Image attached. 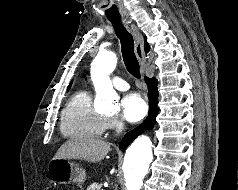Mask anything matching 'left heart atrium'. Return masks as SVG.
Here are the masks:
<instances>
[{
    "instance_id": "obj_1",
    "label": "left heart atrium",
    "mask_w": 238,
    "mask_h": 190,
    "mask_svg": "<svg viewBox=\"0 0 238 190\" xmlns=\"http://www.w3.org/2000/svg\"><path fill=\"white\" fill-rule=\"evenodd\" d=\"M121 110L125 120L137 122L146 115L147 104L139 94L130 93L122 99Z\"/></svg>"
}]
</instances>
